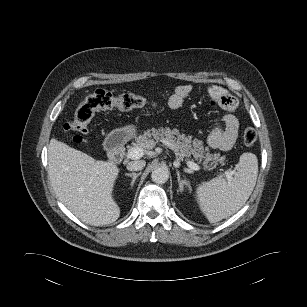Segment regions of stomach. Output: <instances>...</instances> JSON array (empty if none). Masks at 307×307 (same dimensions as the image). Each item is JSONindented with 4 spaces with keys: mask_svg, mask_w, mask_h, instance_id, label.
Segmentation results:
<instances>
[{
    "mask_svg": "<svg viewBox=\"0 0 307 307\" xmlns=\"http://www.w3.org/2000/svg\"><path fill=\"white\" fill-rule=\"evenodd\" d=\"M136 127L132 124L126 125L120 129L115 130L111 135L116 136L121 141L129 140L136 135Z\"/></svg>",
    "mask_w": 307,
    "mask_h": 307,
    "instance_id": "1",
    "label": "stomach"
}]
</instances>
